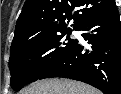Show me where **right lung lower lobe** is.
Here are the masks:
<instances>
[{
  "mask_svg": "<svg viewBox=\"0 0 121 94\" xmlns=\"http://www.w3.org/2000/svg\"><path fill=\"white\" fill-rule=\"evenodd\" d=\"M77 31L90 44L91 51L77 42L39 79L68 77L88 83L104 94H121V23L116 3L84 20Z\"/></svg>",
  "mask_w": 121,
  "mask_h": 94,
  "instance_id": "obj_1",
  "label": "right lung lower lobe"
}]
</instances>
